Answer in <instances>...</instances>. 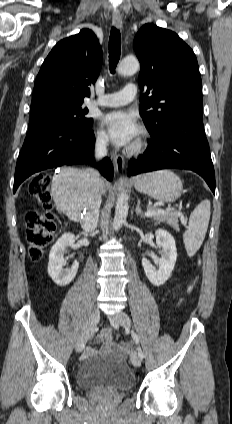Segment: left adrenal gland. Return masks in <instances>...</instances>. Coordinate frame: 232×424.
<instances>
[{"mask_svg": "<svg viewBox=\"0 0 232 424\" xmlns=\"http://www.w3.org/2000/svg\"><path fill=\"white\" fill-rule=\"evenodd\" d=\"M135 213H136V215L137 216H140L141 218H146V215L144 214V212L141 210V207H140V200L138 199V202H137V207H136V209H135Z\"/></svg>", "mask_w": 232, "mask_h": 424, "instance_id": "obj_1", "label": "left adrenal gland"}]
</instances>
